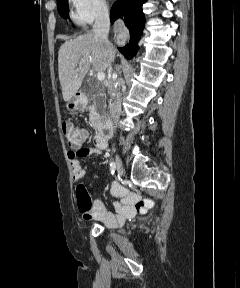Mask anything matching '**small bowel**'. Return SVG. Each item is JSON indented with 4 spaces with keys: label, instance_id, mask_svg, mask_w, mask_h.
<instances>
[{
    "label": "small bowel",
    "instance_id": "small-bowel-1",
    "mask_svg": "<svg viewBox=\"0 0 240 288\" xmlns=\"http://www.w3.org/2000/svg\"><path fill=\"white\" fill-rule=\"evenodd\" d=\"M87 137V133L85 132ZM103 149L84 148L82 145L71 146L68 151V158L74 182H79L85 176L79 158L90 156L93 153L102 154ZM112 194L117 199L114 203L116 212L112 213L106 210L103 202L99 199L91 200L86 187L78 184L76 187L77 205L83 218L86 220L102 221L109 227L122 225L126 219L134 216L137 210H142L143 205L137 203L134 195L128 194L126 189L118 184H113Z\"/></svg>",
    "mask_w": 240,
    "mask_h": 288
}]
</instances>
